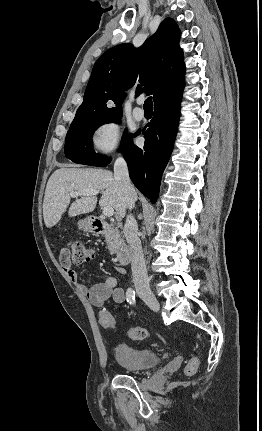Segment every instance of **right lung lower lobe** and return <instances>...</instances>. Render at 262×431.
I'll list each match as a JSON object with an SVG mask.
<instances>
[{
    "label": "right lung lower lobe",
    "mask_w": 262,
    "mask_h": 431,
    "mask_svg": "<svg viewBox=\"0 0 262 431\" xmlns=\"http://www.w3.org/2000/svg\"><path fill=\"white\" fill-rule=\"evenodd\" d=\"M181 99L182 92L155 104L154 116L143 129L144 147H137L132 135L122 150L131 180L153 204L158 198L161 176L176 138Z\"/></svg>",
    "instance_id": "obj_1"
}]
</instances>
